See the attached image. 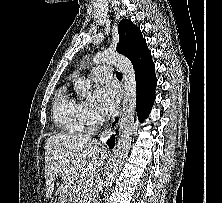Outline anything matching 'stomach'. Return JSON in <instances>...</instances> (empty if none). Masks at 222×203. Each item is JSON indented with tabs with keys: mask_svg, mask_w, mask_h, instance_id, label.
Here are the masks:
<instances>
[{
	"mask_svg": "<svg viewBox=\"0 0 222 203\" xmlns=\"http://www.w3.org/2000/svg\"><path fill=\"white\" fill-rule=\"evenodd\" d=\"M63 200H64V203H70V200H71V199H69V198H67V197H64Z\"/></svg>",
	"mask_w": 222,
	"mask_h": 203,
	"instance_id": "0dacf381",
	"label": "stomach"
}]
</instances>
